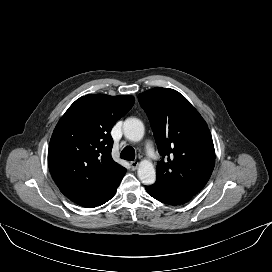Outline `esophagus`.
Masks as SVG:
<instances>
[{
  "instance_id": "obj_1",
  "label": "esophagus",
  "mask_w": 272,
  "mask_h": 272,
  "mask_svg": "<svg viewBox=\"0 0 272 272\" xmlns=\"http://www.w3.org/2000/svg\"><path fill=\"white\" fill-rule=\"evenodd\" d=\"M130 165H131V169L132 170H136L137 167H138V165H139V163L137 161H131Z\"/></svg>"
}]
</instances>
